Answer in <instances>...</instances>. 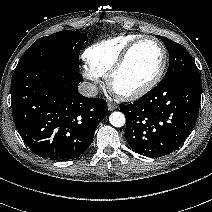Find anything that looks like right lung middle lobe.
Masks as SVG:
<instances>
[{"label":"right lung middle lobe","mask_w":212,"mask_h":212,"mask_svg":"<svg viewBox=\"0 0 212 212\" xmlns=\"http://www.w3.org/2000/svg\"><path fill=\"white\" fill-rule=\"evenodd\" d=\"M87 37L76 31H60L34 42L20 59L14 71L32 64L54 62L79 70V54Z\"/></svg>","instance_id":"dd1d6c3e"}]
</instances>
